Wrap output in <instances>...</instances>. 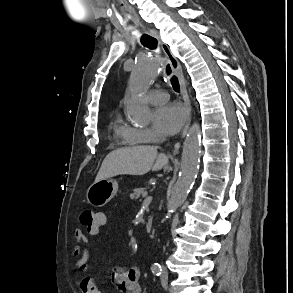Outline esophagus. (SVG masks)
I'll return each instance as SVG.
<instances>
[{"label": "esophagus", "mask_w": 293, "mask_h": 293, "mask_svg": "<svg viewBox=\"0 0 293 293\" xmlns=\"http://www.w3.org/2000/svg\"><path fill=\"white\" fill-rule=\"evenodd\" d=\"M148 33L157 39L163 52L165 53V55L167 56L170 62L173 72L177 75L179 79L180 90H181V94H182L186 111H187V121L182 132V137H184L188 131V128L191 122V103L187 93L186 81L183 75L182 67L178 59L171 52L169 46L161 40L159 33L154 29H148Z\"/></svg>", "instance_id": "1"}]
</instances>
